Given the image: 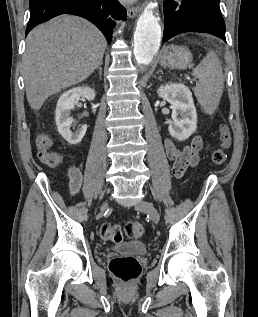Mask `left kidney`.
I'll use <instances>...</instances> for the list:
<instances>
[{
  "label": "left kidney",
  "mask_w": 258,
  "mask_h": 317,
  "mask_svg": "<svg viewBox=\"0 0 258 317\" xmlns=\"http://www.w3.org/2000/svg\"><path fill=\"white\" fill-rule=\"evenodd\" d=\"M157 94L171 104L172 122L168 126L171 136L177 140L189 138L197 128V112L190 88L183 82H167L159 86Z\"/></svg>",
  "instance_id": "left-kidney-1"
}]
</instances>
